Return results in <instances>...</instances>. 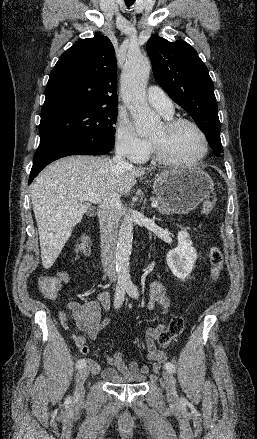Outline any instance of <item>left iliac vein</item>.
<instances>
[{"instance_id":"4c4485c4","label":"left iliac vein","mask_w":257,"mask_h":439,"mask_svg":"<svg viewBox=\"0 0 257 439\" xmlns=\"http://www.w3.org/2000/svg\"><path fill=\"white\" fill-rule=\"evenodd\" d=\"M163 378L166 383V392L168 400L171 402H174L177 400V392H176V383L173 375L169 371L163 372Z\"/></svg>"}]
</instances>
